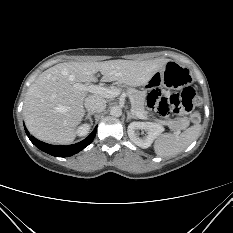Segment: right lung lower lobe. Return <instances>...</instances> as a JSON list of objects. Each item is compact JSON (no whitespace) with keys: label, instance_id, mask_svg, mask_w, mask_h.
Here are the masks:
<instances>
[{"label":"right lung lower lobe","instance_id":"98d812e1","mask_svg":"<svg viewBox=\"0 0 233 233\" xmlns=\"http://www.w3.org/2000/svg\"><path fill=\"white\" fill-rule=\"evenodd\" d=\"M96 129H97V126L95 127L93 132L83 141L73 144V145H69V146L50 145V144L41 142L37 140L36 138H34L33 136H30L26 128H25V131H26V134H28L30 141L40 150L50 155L56 156V157H68V156L78 153L79 151L87 147L93 141L96 135Z\"/></svg>","mask_w":233,"mask_h":233}]
</instances>
